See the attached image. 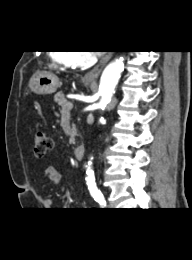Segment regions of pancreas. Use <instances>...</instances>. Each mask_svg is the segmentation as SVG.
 Listing matches in <instances>:
<instances>
[{
	"label": "pancreas",
	"mask_w": 192,
	"mask_h": 260,
	"mask_svg": "<svg viewBox=\"0 0 192 260\" xmlns=\"http://www.w3.org/2000/svg\"><path fill=\"white\" fill-rule=\"evenodd\" d=\"M54 101L58 104V106L61 107V113L64 111L65 109V105L68 102L67 99L65 98L64 94L62 92H58L55 96H54ZM76 130L73 129L71 132V136H70V143L71 144H75V137H76Z\"/></svg>",
	"instance_id": "cf45deb5"
}]
</instances>
